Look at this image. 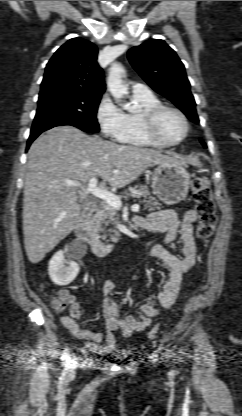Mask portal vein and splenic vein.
Listing matches in <instances>:
<instances>
[{"label": "portal vein and splenic vein", "instance_id": "obj_1", "mask_svg": "<svg viewBox=\"0 0 242 416\" xmlns=\"http://www.w3.org/2000/svg\"><path fill=\"white\" fill-rule=\"evenodd\" d=\"M70 185L76 186V183L70 182ZM82 190L90 192L92 195H94L95 197L104 200L106 203H108L109 205H111L113 208L119 210L122 207V202L120 200V197H118L117 195L105 190L104 188L101 187H97V178L94 177L92 179L89 180L88 186L86 188L81 187ZM138 194H140L139 192H137ZM139 209V205L138 204H134L132 206V210L133 211H137Z\"/></svg>", "mask_w": 242, "mask_h": 416}]
</instances>
